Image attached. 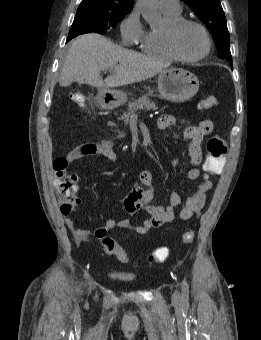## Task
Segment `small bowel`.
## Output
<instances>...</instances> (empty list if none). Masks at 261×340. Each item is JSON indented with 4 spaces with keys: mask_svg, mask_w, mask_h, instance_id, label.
<instances>
[{
    "mask_svg": "<svg viewBox=\"0 0 261 340\" xmlns=\"http://www.w3.org/2000/svg\"><path fill=\"white\" fill-rule=\"evenodd\" d=\"M175 123L174 117L163 115L158 120V128L167 129ZM213 122L210 119H202L197 125L187 127L183 132V137L189 140V164L190 169L187 176L190 180H196L201 176L199 165L202 162L201 143L205 136L213 130ZM91 156H103L111 161H117V154L114 151V142L105 140L100 143H83L73 148L66 159L68 164ZM174 164L179 166L178 158L174 159ZM77 179V177H75ZM153 175L148 170H143L139 175L140 185L134 186L123 198L124 208L129 213H134L140 209L145 210L149 217L141 224L133 225L129 219L116 220L110 218L105 224L91 232L87 229L77 228L74 221L66 217L65 224L72 232L77 243L85 242L90 236L102 240L109 230L113 228L134 229L138 234H146L153 228L162 226L175 218V209L181 207L179 218L189 220L197 214L204 206L207 194L212 189V182L204 179L197 187L196 191L186 199L182 205V199L176 192H172L169 204L166 206L155 205L153 203L154 192L151 188Z\"/></svg>",
    "mask_w": 261,
    "mask_h": 340,
    "instance_id": "small-bowel-1",
    "label": "small bowel"
}]
</instances>
